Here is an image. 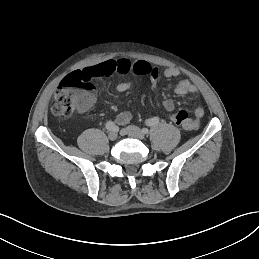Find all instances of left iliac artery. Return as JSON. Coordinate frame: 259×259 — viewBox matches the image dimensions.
Segmentation results:
<instances>
[{
  "instance_id": "44dca946",
  "label": "left iliac artery",
  "mask_w": 259,
  "mask_h": 259,
  "mask_svg": "<svg viewBox=\"0 0 259 259\" xmlns=\"http://www.w3.org/2000/svg\"><path fill=\"white\" fill-rule=\"evenodd\" d=\"M158 123H159V118H158V117H153V118L148 119V120L146 121V124H147L148 126H155V125H157ZM143 132H144V133H147L148 130H147V129H143Z\"/></svg>"
}]
</instances>
